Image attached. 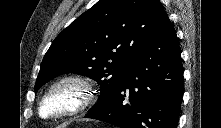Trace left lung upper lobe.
<instances>
[{"instance_id":"obj_1","label":"left lung upper lobe","mask_w":221,"mask_h":128,"mask_svg":"<svg viewBox=\"0 0 221 128\" xmlns=\"http://www.w3.org/2000/svg\"><path fill=\"white\" fill-rule=\"evenodd\" d=\"M167 20L159 0H99L55 38L40 65L35 91L61 74H82L101 88L89 112L98 109Z\"/></svg>"}]
</instances>
